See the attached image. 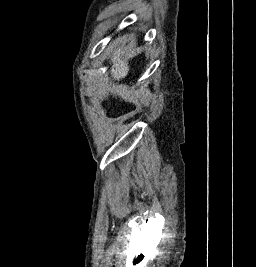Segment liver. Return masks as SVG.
I'll list each match as a JSON object with an SVG mask.
<instances>
[{"label":"liver","mask_w":256,"mask_h":267,"mask_svg":"<svg viewBox=\"0 0 256 267\" xmlns=\"http://www.w3.org/2000/svg\"><path fill=\"white\" fill-rule=\"evenodd\" d=\"M126 48H117L114 54H112V58L110 62H112V68L110 70V74L114 80H122V78H126L129 72L128 62H124L123 56H125Z\"/></svg>","instance_id":"liver-1"}]
</instances>
